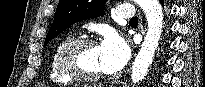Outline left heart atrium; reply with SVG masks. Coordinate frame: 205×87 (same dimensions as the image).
<instances>
[{"mask_svg":"<svg viewBox=\"0 0 205 87\" xmlns=\"http://www.w3.org/2000/svg\"><path fill=\"white\" fill-rule=\"evenodd\" d=\"M98 48L102 70L108 73L120 70L130 55L127 43L115 33H108Z\"/></svg>","mask_w":205,"mask_h":87,"instance_id":"1","label":"left heart atrium"}]
</instances>
